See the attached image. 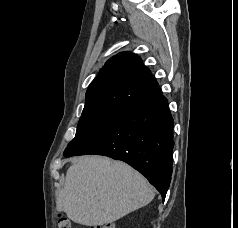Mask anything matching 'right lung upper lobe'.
Returning <instances> with one entry per match:
<instances>
[{"label":"right lung upper lobe","instance_id":"obj_1","mask_svg":"<svg viewBox=\"0 0 238 228\" xmlns=\"http://www.w3.org/2000/svg\"><path fill=\"white\" fill-rule=\"evenodd\" d=\"M161 95L157 81L142 60L122 52L109 59L89 85L83 113L123 115Z\"/></svg>","mask_w":238,"mask_h":228}]
</instances>
